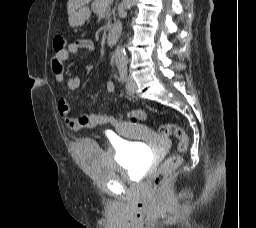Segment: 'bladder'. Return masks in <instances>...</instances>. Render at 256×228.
<instances>
[{"mask_svg":"<svg viewBox=\"0 0 256 228\" xmlns=\"http://www.w3.org/2000/svg\"><path fill=\"white\" fill-rule=\"evenodd\" d=\"M79 152L84 168L102 179L142 176L147 161L144 150L132 142L120 143L116 150L104 148L92 140H82Z\"/></svg>","mask_w":256,"mask_h":228,"instance_id":"31cf9c89","label":"bladder"}]
</instances>
